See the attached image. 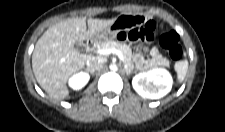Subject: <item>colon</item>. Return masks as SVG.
Listing matches in <instances>:
<instances>
[{
  "label": "colon",
  "mask_w": 225,
  "mask_h": 132,
  "mask_svg": "<svg viewBox=\"0 0 225 132\" xmlns=\"http://www.w3.org/2000/svg\"><path fill=\"white\" fill-rule=\"evenodd\" d=\"M155 29L156 24L153 21H146L137 26L122 30L118 36L121 40L129 41L152 40L155 37ZM159 42L173 60H179L181 58V41L176 32L169 31L162 34Z\"/></svg>",
  "instance_id": "1"
}]
</instances>
